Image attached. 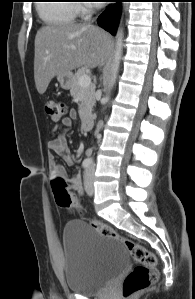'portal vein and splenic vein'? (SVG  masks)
<instances>
[{"label": "portal vein and splenic vein", "instance_id": "obj_1", "mask_svg": "<svg viewBox=\"0 0 195 299\" xmlns=\"http://www.w3.org/2000/svg\"><path fill=\"white\" fill-rule=\"evenodd\" d=\"M91 84V77L87 74L82 75L79 79V85L82 87H87Z\"/></svg>", "mask_w": 195, "mask_h": 299}]
</instances>
